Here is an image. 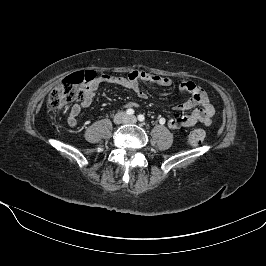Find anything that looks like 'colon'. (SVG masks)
Listing matches in <instances>:
<instances>
[{
    "instance_id": "obj_1",
    "label": "colon",
    "mask_w": 266,
    "mask_h": 266,
    "mask_svg": "<svg viewBox=\"0 0 266 266\" xmlns=\"http://www.w3.org/2000/svg\"><path fill=\"white\" fill-rule=\"evenodd\" d=\"M96 79L93 71L75 72L59 84L49 95L47 105L52 110H59L72 102L82 100L85 89ZM205 138V131L202 129L192 130L187 142L192 147L199 146Z\"/></svg>"
}]
</instances>
